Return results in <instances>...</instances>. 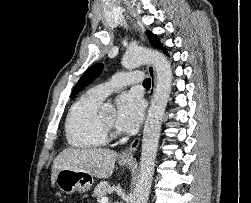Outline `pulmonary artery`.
Listing matches in <instances>:
<instances>
[{
  "instance_id": "e3ab8cb5",
  "label": "pulmonary artery",
  "mask_w": 251,
  "mask_h": 203,
  "mask_svg": "<svg viewBox=\"0 0 251 203\" xmlns=\"http://www.w3.org/2000/svg\"><path fill=\"white\" fill-rule=\"evenodd\" d=\"M142 80L143 74L141 72H120L107 82L90 88L88 93L100 100H104L113 90L123 85L140 83Z\"/></svg>"
}]
</instances>
